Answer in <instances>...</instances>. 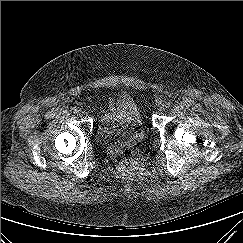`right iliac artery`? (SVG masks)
Listing matches in <instances>:
<instances>
[{
  "label": "right iliac artery",
  "mask_w": 243,
  "mask_h": 243,
  "mask_svg": "<svg viewBox=\"0 0 243 243\" xmlns=\"http://www.w3.org/2000/svg\"><path fill=\"white\" fill-rule=\"evenodd\" d=\"M72 111H73V113H77L78 112V110L76 108H73Z\"/></svg>",
  "instance_id": "82829eb1"
}]
</instances>
